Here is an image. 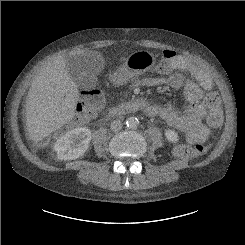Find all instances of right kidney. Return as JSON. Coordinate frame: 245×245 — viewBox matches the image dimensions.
Segmentation results:
<instances>
[{
  "label": "right kidney",
  "mask_w": 245,
  "mask_h": 245,
  "mask_svg": "<svg viewBox=\"0 0 245 245\" xmlns=\"http://www.w3.org/2000/svg\"><path fill=\"white\" fill-rule=\"evenodd\" d=\"M91 141V131L86 127L75 128L59 138L54 151L60 160H73L84 155Z\"/></svg>",
  "instance_id": "ca27d5eb"
}]
</instances>
